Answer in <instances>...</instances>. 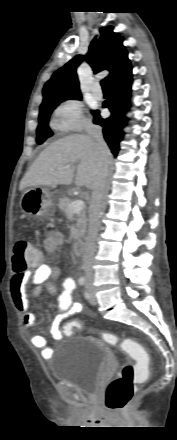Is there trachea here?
Here are the masks:
<instances>
[{
	"label": "trachea",
	"instance_id": "obj_1",
	"mask_svg": "<svg viewBox=\"0 0 177 440\" xmlns=\"http://www.w3.org/2000/svg\"><path fill=\"white\" fill-rule=\"evenodd\" d=\"M101 86H102V89H103L104 91H107V90H109V88H108V86H107V84H106V81H105V80H102V81H101Z\"/></svg>",
	"mask_w": 177,
	"mask_h": 440
}]
</instances>
